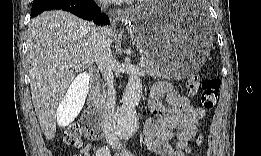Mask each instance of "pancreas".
<instances>
[{
	"label": "pancreas",
	"mask_w": 261,
	"mask_h": 156,
	"mask_svg": "<svg viewBox=\"0 0 261 156\" xmlns=\"http://www.w3.org/2000/svg\"><path fill=\"white\" fill-rule=\"evenodd\" d=\"M141 60H144L146 62V65L144 67H145L146 73L149 76H160V75H162L160 68L155 66L151 57L144 55V56L141 57ZM95 96H96L97 103L100 104V105H103L104 101H105V92H104V90L100 91L99 86H98V88L95 92Z\"/></svg>",
	"instance_id": "cf45deb5"
}]
</instances>
